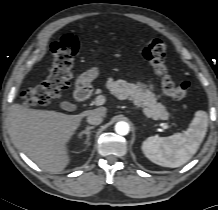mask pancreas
Here are the masks:
<instances>
[{
    "label": "pancreas",
    "instance_id": "pancreas-1",
    "mask_svg": "<svg viewBox=\"0 0 218 210\" xmlns=\"http://www.w3.org/2000/svg\"><path fill=\"white\" fill-rule=\"evenodd\" d=\"M107 87L111 94L120 100H130L141 106L144 114L153 120H167L169 113L165 106L157 102L155 95L141 82L128 83L122 79H108Z\"/></svg>",
    "mask_w": 218,
    "mask_h": 210
}]
</instances>
